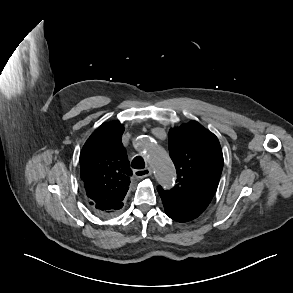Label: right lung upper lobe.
I'll list each match as a JSON object with an SVG mask.
<instances>
[{
    "instance_id": "1",
    "label": "right lung upper lobe",
    "mask_w": 293,
    "mask_h": 293,
    "mask_svg": "<svg viewBox=\"0 0 293 293\" xmlns=\"http://www.w3.org/2000/svg\"><path fill=\"white\" fill-rule=\"evenodd\" d=\"M123 132L119 121L104 123L80 153L81 179L88 202L97 212L114 213L121 209L129 189L132 172L121 143Z\"/></svg>"
}]
</instances>
